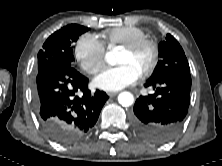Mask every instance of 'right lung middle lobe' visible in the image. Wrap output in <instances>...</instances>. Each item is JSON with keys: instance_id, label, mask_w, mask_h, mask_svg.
<instances>
[{"instance_id": "1", "label": "right lung middle lobe", "mask_w": 222, "mask_h": 166, "mask_svg": "<svg viewBox=\"0 0 222 166\" xmlns=\"http://www.w3.org/2000/svg\"><path fill=\"white\" fill-rule=\"evenodd\" d=\"M89 28L70 24L50 35L38 53V71L51 65L73 66V44Z\"/></svg>"}]
</instances>
